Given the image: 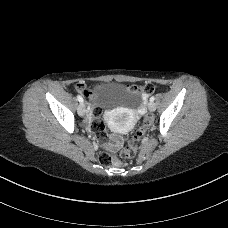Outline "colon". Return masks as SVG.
I'll use <instances>...</instances> for the list:
<instances>
[{"label": "colon", "mask_w": 228, "mask_h": 228, "mask_svg": "<svg viewBox=\"0 0 228 228\" xmlns=\"http://www.w3.org/2000/svg\"><path fill=\"white\" fill-rule=\"evenodd\" d=\"M77 89L79 92L83 93L89 103L88 115L91 118V129L100 136V139L104 136L105 123L102 120V110L94 105L91 101L92 91L86 89L84 84H78ZM137 89V88H136ZM155 87L153 84H146L141 88L143 94H150L154 91ZM151 120L146 117L143 125L137 130V132L128 140L127 144L119 148V156L121 158H132L135 156L138 143L143 136L145 129L150 125ZM113 148H118L117 142L112 145ZM99 160L104 165H111L118 162L116 156L113 154L112 150H104L99 154Z\"/></svg>", "instance_id": "obj_1"}]
</instances>
